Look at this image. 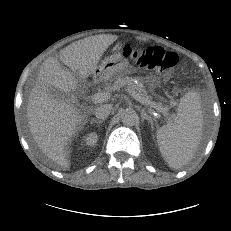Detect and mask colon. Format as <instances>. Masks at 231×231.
<instances>
[{"label": "colon", "mask_w": 231, "mask_h": 231, "mask_svg": "<svg viewBox=\"0 0 231 231\" xmlns=\"http://www.w3.org/2000/svg\"><path fill=\"white\" fill-rule=\"evenodd\" d=\"M123 54L142 68L167 73L170 72L178 62V57L175 53L166 52L161 47L151 46L136 49L127 45L123 48Z\"/></svg>", "instance_id": "obj_1"}]
</instances>
